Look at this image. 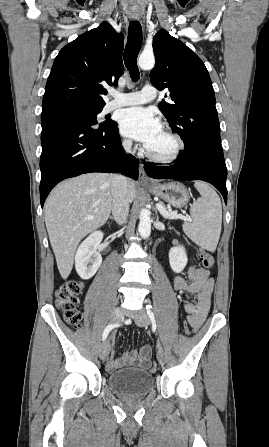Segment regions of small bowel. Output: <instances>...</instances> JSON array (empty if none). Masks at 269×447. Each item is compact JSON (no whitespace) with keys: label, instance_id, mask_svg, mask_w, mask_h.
Listing matches in <instances>:
<instances>
[{"label":"small bowel","instance_id":"1","mask_svg":"<svg viewBox=\"0 0 269 447\" xmlns=\"http://www.w3.org/2000/svg\"><path fill=\"white\" fill-rule=\"evenodd\" d=\"M189 280L181 276H173V287L181 292L195 295L194 302H184L183 308L189 314L190 323L199 328L205 321L211 305V295L214 290L215 282L210 272L205 268L190 266L188 269ZM110 359L107 363V369L114 371L128 364H134L140 368L147 369V362L151 361V356L143 355L141 347L139 355L136 351H128L119 358H114L115 351L111 345Z\"/></svg>","mask_w":269,"mask_h":447}]
</instances>
